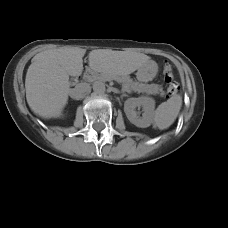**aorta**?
I'll return each instance as SVG.
<instances>
[{"label":"aorta","mask_w":228,"mask_h":228,"mask_svg":"<svg viewBox=\"0 0 228 228\" xmlns=\"http://www.w3.org/2000/svg\"><path fill=\"white\" fill-rule=\"evenodd\" d=\"M93 91L98 95H104L106 92L105 84L102 82L93 83Z\"/></svg>","instance_id":"1"}]
</instances>
